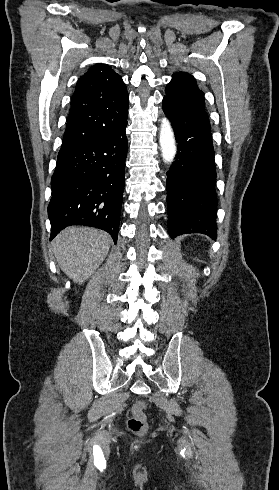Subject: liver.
I'll list each match as a JSON object with an SVG mask.
<instances>
[{"label": "liver", "instance_id": "obj_1", "mask_svg": "<svg viewBox=\"0 0 279 490\" xmlns=\"http://www.w3.org/2000/svg\"><path fill=\"white\" fill-rule=\"evenodd\" d=\"M111 238L94 228H66L54 240V256L64 274L75 284L89 280L104 262Z\"/></svg>", "mask_w": 279, "mask_h": 490}]
</instances>
